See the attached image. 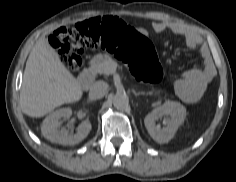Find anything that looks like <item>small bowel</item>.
Returning a JSON list of instances; mask_svg holds the SVG:
<instances>
[{"mask_svg": "<svg viewBox=\"0 0 236 182\" xmlns=\"http://www.w3.org/2000/svg\"><path fill=\"white\" fill-rule=\"evenodd\" d=\"M152 30L156 34L170 30L172 33L182 36L189 48H197L202 44L196 32L177 23L157 21L152 24ZM200 52L203 60L202 67L184 71L175 83L177 95L188 103L195 102L202 97L215 73L207 47L202 45Z\"/></svg>", "mask_w": 236, "mask_h": 182, "instance_id": "obj_1", "label": "small bowel"}]
</instances>
